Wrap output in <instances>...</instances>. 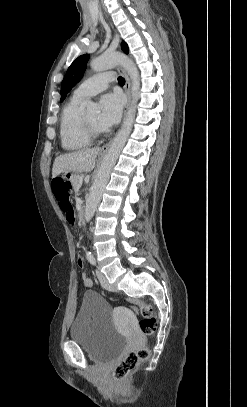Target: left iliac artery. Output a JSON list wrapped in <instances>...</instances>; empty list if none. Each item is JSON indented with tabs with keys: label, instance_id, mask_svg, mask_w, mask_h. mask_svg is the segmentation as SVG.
Returning a JSON list of instances; mask_svg holds the SVG:
<instances>
[{
	"label": "left iliac artery",
	"instance_id": "44dca946",
	"mask_svg": "<svg viewBox=\"0 0 247 407\" xmlns=\"http://www.w3.org/2000/svg\"><path fill=\"white\" fill-rule=\"evenodd\" d=\"M87 259L92 265L96 264V260H95V257L93 255H88Z\"/></svg>",
	"mask_w": 247,
	"mask_h": 407
}]
</instances>
